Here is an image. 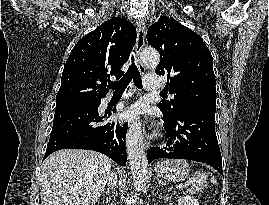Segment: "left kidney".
<instances>
[{"label": "left kidney", "instance_id": "5707ae66", "mask_svg": "<svg viewBox=\"0 0 269 205\" xmlns=\"http://www.w3.org/2000/svg\"><path fill=\"white\" fill-rule=\"evenodd\" d=\"M170 197H166V200ZM178 205H199V202L191 196H181L178 199Z\"/></svg>", "mask_w": 269, "mask_h": 205}]
</instances>
